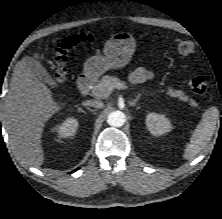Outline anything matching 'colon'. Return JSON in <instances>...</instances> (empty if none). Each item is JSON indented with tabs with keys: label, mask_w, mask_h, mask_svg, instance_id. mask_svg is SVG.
I'll use <instances>...</instances> for the list:
<instances>
[{
	"label": "colon",
	"mask_w": 222,
	"mask_h": 219,
	"mask_svg": "<svg viewBox=\"0 0 222 219\" xmlns=\"http://www.w3.org/2000/svg\"><path fill=\"white\" fill-rule=\"evenodd\" d=\"M95 41V37L92 34L79 33L65 36L57 43L53 57L51 60V73L57 83H62L66 79L67 75V53L70 49L81 45L91 44ZM176 46L178 51L185 56L191 55L194 52V45L191 41L178 39L176 40ZM192 92L198 95L206 93L208 83L202 76H195L189 82Z\"/></svg>",
	"instance_id": "colon-1"
}]
</instances>
